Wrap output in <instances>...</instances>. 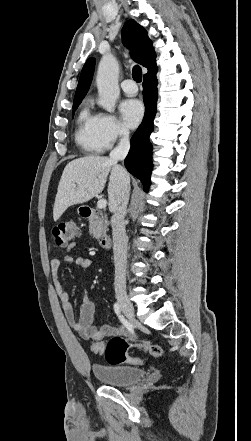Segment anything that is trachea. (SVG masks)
<instances>
[{"label":"trachea","instance_id":"1","mask_svg":"<svg viewBox=\"0 0 251 441\" xmlns=\"http://www.w3.org/2000/svg\"><path fill=\"white\" fill-rule=\"evenodd\" d=\"M133 73H132V77L136 82H141L142 81V70L138 65H135L133 67Z\"/></svg>","mask_w":251,"mask_h":441}]
</instances>
